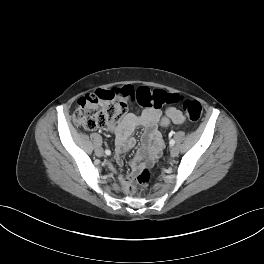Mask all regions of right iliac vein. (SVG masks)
Segmentation results:
<instances>
[{
    "mask_svg": "<svg viewBox=\"0 0 264 264\" xmlns=\"http://www.w3.org/2000/svg\"><path fill=\"white\" fill-rule=\"evenodd\" d=\"M95 153H96L97 156H102L103 155V150L101 148H97L95 150Z\"/></svg>",
    "mask_w": 264,
    "mask_h": 264,
    "instance_id": "1",
    "label": "right iliac vein"
}]
</instances>
